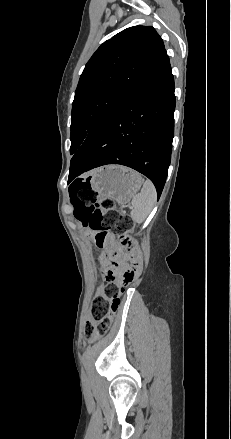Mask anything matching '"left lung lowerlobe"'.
Masks as SVG:
<instances>
[{
    "label": "left lung lower lobe",
    "instance_id": "0a47b994",
    "mask_svg": "<svg viewBox=\"0 0 231 439\" xmlns=\"http://www.w3.org/2000/svg\"><path fill=\"white\" fill-rule=\"evenodd\" d=\"M174 78L167 57L141 79L86 137L71 159L69 180L106 164L131 167L147 176L160 197L174 136Z\"/></svg>",
    "mask_w": 231,
    "mask_h": 439
}]
</instances>
